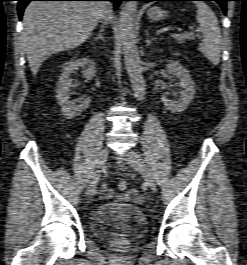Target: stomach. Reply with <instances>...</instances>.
<instances>
[{"mask_svg": "<svg viewBox=\"0 0 247 265\" xmlns=\"http://www.w3.org/2000/svg\"><path fill=\"white\" fill-rule=\"evenodd\" d=\"M148 17L153 21H159L164 19L167 16V12L161 9L160 7H151L148 12Z\"/></svg>", "mask_w": 247, "mask_h": 265, "instance_id": "stomach-1", "label": "stomach"}]
</instances>
